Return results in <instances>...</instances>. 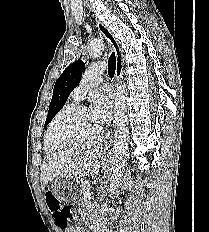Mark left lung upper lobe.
<instances>
[{
  "label": "left lung upper lobe",
  "mask_w": 209,
  "mask_h": 232,
  "mask_svg": "<svg viewBox=\"0 0 209 232\" xmlns=\"http://www.w3.org/2000/svg\"><path fill=\"white\" fill-rule=\"evenodd\" d=\"M84 69L85 63L82 60L75 61L58 78L54 85L53 97L49 106L45 126L62 109L70 93L78 86Z\"/></svg>",
  "instance_id": "obj_1"
}]
</instances>
